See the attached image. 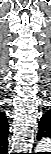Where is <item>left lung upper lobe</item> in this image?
Segmentation results:
<instances>
[{"label": "left lung upper lobe", "instance_id": "left-lung-upper-lobe-1", "mask_svg": "<svg viewBox=\"0 0 51 154\" xmlns=\"http://www.w3.org/2000/svg\"><path fill=\"white\" fill-rule=\"evenodd\" d=\"M44 117L41 118V121L39 123V131H38V134H37V139L40 140L42 137H43V122H44Z\"/></svg>", "mask_w": 51, "mask_h": 154}]
</instances>
